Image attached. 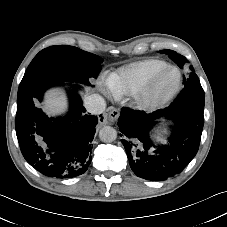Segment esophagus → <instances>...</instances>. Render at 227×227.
Instances as JSON below:
<instances>
[{
    "instance_id": "obj_1",
    "label": "esophagus",
    "mask_w": 227,
    "mask_h": 227,
    "mask_svg": "<svg viewBox=\"0 0 227 227\" xmlns=\"http://www.w3.org/2000/svg\"><path fill=\"white\" fill-rule=\"evenodd\" d=\"M120 115V111L118 109H112L108 114L107 118H104L103 120L99 118V123L104 124L105 120H108L110 122H115Z\"/></svg>"
}]
</instances>
